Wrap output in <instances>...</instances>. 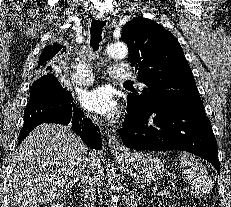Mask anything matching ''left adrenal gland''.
Instances as JSON below:
<instances>
[{
  "instance_id": "1",
  "label": "left adrenal gland",
  "mask_w": 231,
  "mask_h": 207,
  "mask_svg": "<svg viewBox=\"0 0 231 207\" xmlns=\"http://www.w3.org/2000/svg\"><path fill=\"white\" fill-rule=\"evenodd\" d=\"M134 195H135V192L134 191H131L130 192V196L127 198V204H128V206L130 207H137V202L139 201V198L138 199H136L135 197H134Z\"/></svg>"
}]
</instances>
